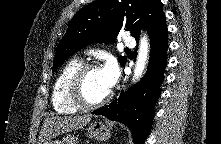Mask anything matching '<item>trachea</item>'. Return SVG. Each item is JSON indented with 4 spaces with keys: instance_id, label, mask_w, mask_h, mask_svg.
Listing matches in <instances>:
<instances>
[{
    "instance_id": "obj_1",
    "label": "trachea",
    "mask_w": 221,
    "mask_h": 144,
    "mask_svg": "<svg viewBox=\"0 0 221 144\" xmlns=\"http://www.w3.org/2000/svg\"><path fill=\"white\" fill-rule=\"evenodd\" d=\"M125 50H130L129 48H125Z\"/></svg>"
}]
</instances>
